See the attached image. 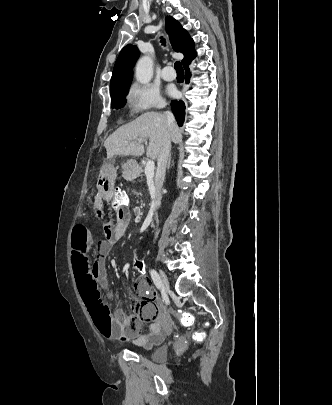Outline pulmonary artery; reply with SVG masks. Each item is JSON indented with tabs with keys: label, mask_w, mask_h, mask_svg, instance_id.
<instances>
[{
	"label": "pulmonary artery",
	"mask_w": 332,
	"mask_h": 405,
	"mask_svg": "<svg viewBox=\"0 0 332 405\" xmlns=\"http://www.w3.org/2000/svg\"><path fill=\"white\" fill-rule=\"evenodd\" d=\"M161 76L166 81H172L176 78V73L171 66H165L161 71Z\"/></svg>",
	"instance_id": "1"
}]
</instances>
